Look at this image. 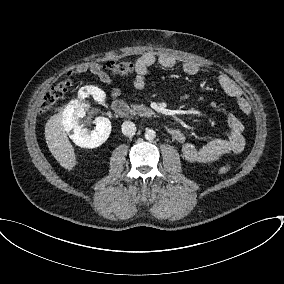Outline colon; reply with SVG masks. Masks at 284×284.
I'll use <instances>...</instances> for the list:
<instances>
[{
    "mask_svg": "<svg viewBox=\"0 0 284 284\" xmlns=\"http://www.w3.org/2000/svg\"><path fill=\"white\" fill-rule=\"evenodd\" d=\"M102 68L104 70H109L113 74L116 75H128L133 72L134 64L130 60H121V61H110L107 63H101ZM71 85V79L67 78L58 84L51 87L46 94L44 95L41 105L40 111L45 112L49 110L58 100H60L67 89ZM230 171V167L228 165L221 166L219 172L221 174H226Z\"/></svg>",
    "mask_w": 284,
    "mask_h": 284,
    "instance_id": "obj_1",
    "label": "colon"
}]
</instances>
